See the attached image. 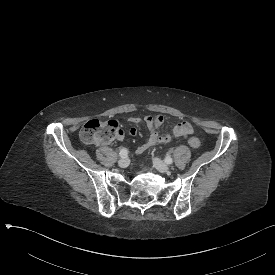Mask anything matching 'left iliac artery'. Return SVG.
Here are the masks:
<instances>
[{
  "instance_id": "left-iliac-artery-1",
  "label": "left iliac artery",
  "mask_w": 275,
  "mask_h": 275,
  "mask_svg": "<svg viewBox=\"0 0 275 275\" xmlns=\"http://www.w3.org/2000/svg\"><path fill=\"white\" fill-rule=\"evenodd\" d=\"M165 162H166L167 164H172L173 159L171 158V156H166V157H165Z\"/></svg>"
}]
</instances>
